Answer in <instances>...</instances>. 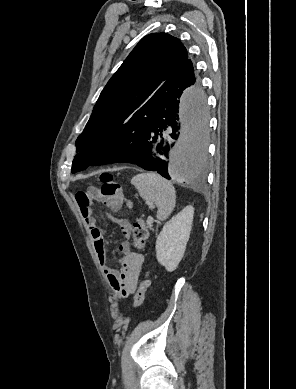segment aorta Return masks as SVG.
Instances as JSON below:
<instances>
[{
	"mask_svg": "<svg viewBox=\"0 0 296 389\" xmlns=\"http://www.w3.org/2000/svg\"><path fill=\"white\" fill-rule=\"evenodd\" d=\"M198 81H189L179 94L181 129L169 157L168 172L176 180L196 178L209 161L208 94Z\"/></svg>",
	"mask_w": 296,
	"mask_h": 389,
	"instance_id": "762f6f07",
	"label": "aorta"
}]
</instances>
